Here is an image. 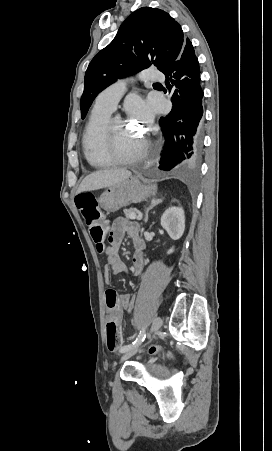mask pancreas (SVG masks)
Listing matches in <instances>:
<instances>
[{
    "label": "pancreas",
    "mask_w": 272,
    "mask_h": 451,
    "mask_svg": "<svg viewBox=\"0 0 272 451\" xmlns=\"http://www.w3.org/2000/svg\"><path fill=\"white\" fill-rule=\"evenodd\" d=\"M134 210H135V208H129V210H123V212H124L126 218H128V220L130 218V214H133Z\"/></svg>",
    "instance_id": "1"
}]
</instances>
